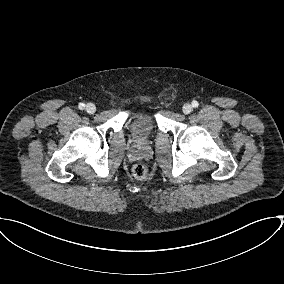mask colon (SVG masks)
<instances>
[{
    "mask_svg": "<svg viewBox=\"0 0 284 284\" xmlns=\"http://www.w3.org/2000/svg\"><path fill=\"white\" fill-rule=\"evenodd\" d=\"M132 173L137 179H145L148 175V169L143 164H135L132 168Z\"/></svg>",
    "mask_w": 284,
    "mask_h": 284,
    "instance_id": "colon-1",
    "label": "colon"
}]
</instances>
